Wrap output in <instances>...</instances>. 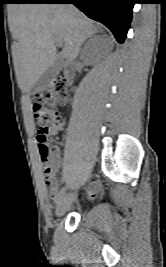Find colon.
<instances>
[{"mask_svg":"<svg viewBox=\"0 0 166 267\" xmlns=\"http://www.w3.org/2000/svg\"><path fill=\"white\" fill-rule=\"evenodd\" d=\"M69 100L68 83L63 78H57L49 86L37 92L34 97L32 110L38 126L39 154L44 173L48 177L54 174L55 152L48 143V136L52 126L62 118L59 106H65Z\"/></svg>","mask_w":166,"mask_h":267,"instance_id":"colon-1","label":"colon"}]
</instances>
